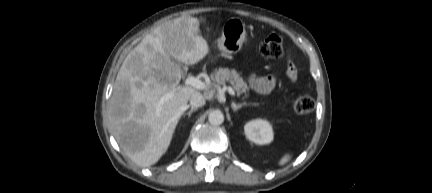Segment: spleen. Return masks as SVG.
<instances>
[{
  "mask_svg": "<svg viewBox=\"0 0 432 193\" xmlns=\"http://www.w3.org/2000/svg\"><path fill=\"white\" fill-rule=\"evenodd\" d=\"M291 154L290 153H287V154H285L280 160H279V165L280 166H283V165H285L286 163H288L290 160H291Z\"/></svg>",
  "mask_w": 432,
  "mask_h": 193,
  "instance_id": "3e777b00",
  "label": "spleen"
}]
</instances>
